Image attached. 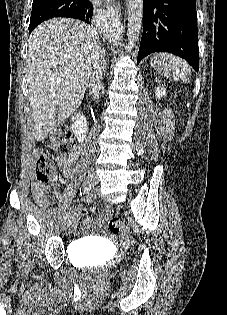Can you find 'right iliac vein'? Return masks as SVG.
Masks as SVG:
<instances>
[{
    "mask_svg": "<svg viewBox=\"0 0 227 315\" xmlns=\"http://www.w3.org/2000/svg\"><path fill=\"white\" fill-rule=\"evenodd\" d=\"M97 183H98V177H97L96 173L95 172H89L88 176H87V184L90 186H94ZM72 221L73 220L71 218H67L64 221V227L68 228L72 224Z\"/></svg>",
    "mask_w": 227,
    "mask_h": 315,
    "instance_id": "obj_1",
    "label": "right iliac vein"
}]
</instances>
